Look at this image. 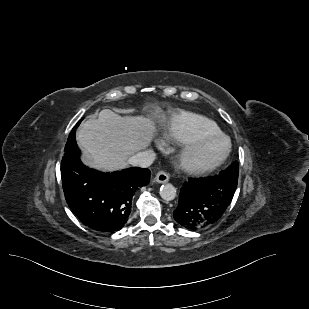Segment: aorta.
Segmentation results:
<instances>
[{
	"label": "aorta",
	"mask_w": 309,
	"mask_h": 309,
	"mask_svg": "<svg viewBox=\"0 0 309 309\" xmlns=\"http://www.w3.org/2000/svg\"><path fill=\"white\" fill-rule=\"evenodd\" d=\"M160 196L165 201H172L176 197V189L172 184H164L160 188Z\"/></svg>",
	"instance_id": "762f6f07"
}]
</instances>
